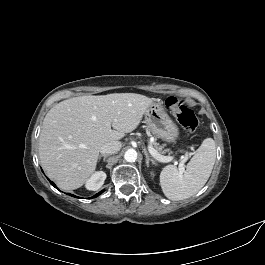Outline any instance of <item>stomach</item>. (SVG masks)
<instances>
[{
	"mask_svg": "<svg viewBox=\"0 0 265 265\" xmlns=\"http://www.w3.org/2000/svg\"><path fill=\"white\" fill-rule=\"evenodd\" d=\"M145 123L158 138L174 142L179 130L160 103L153 102L145 112Z\"/></svg>",
	"mask_w": 265,
	"mask_h": 265,
	"instance_id": "1",
	"label": "stomach"
}]
</instances>
